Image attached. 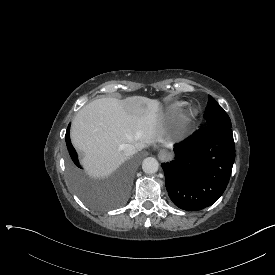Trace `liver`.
I'll use <instances>...</instances> for the list:
<instances>
[{"instance_id": "obj_1", "label": "liver", "mask_w": 275, "mask_h": 275, "mask_svg": "<svg viewBox=\"0 0 275 275\" xmlns=\"http://www.w3.org/2000/svg\"><path fill=\"white\" fill-rule=\"evenodd\" d=\"M159 101L142 96L96 99L78 111L71 125L73 145L84 153L81 163L92 178H104L127 160L125 144L137 151L164 140L157 135Z\"/></svg>"}]
</instances>
